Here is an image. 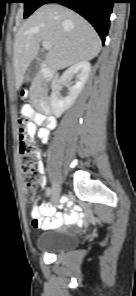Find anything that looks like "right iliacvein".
Listing matches in <instances>:
<instances>
[{"mask_svg": "<svg viewBox=\"0 0 136 296\" xmlns=\"http://www.w3.org/2000/svg\"><path fill=\"white\" fill-rule=\"evenodd\" d=\"M59 197H60V186L58 184H55L51 192L52 202L56 204L58 202Z\"/></svg>", "mask_w": 136, "mask_h": 296, "instance_id": "1", "label": "right iliac vein"}]
</instances>
